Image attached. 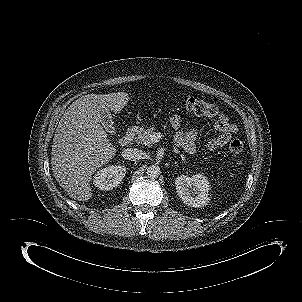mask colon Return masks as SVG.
I'll return each instance as SVG.
<instances>
[{"label":"colon","mask_w":302,"mask_h":302,"mask_svg":"<svg viewBox=\"0 0 302 302\" xmlns=\"http://www.w3.org/2000/svg\"><path fill=\"white\" fill-rule=\"evenodd\" d=\"M186 106L189 110L198 115L204 116H217L220 113V109L217 105L198 100L196 98H189L186 102ZM232 155L239 159L243 151V143L238 139H233L229 145ZM240 162V160H238Z\"/></svg>","instance_id":"colon-1"}]
</instances>
